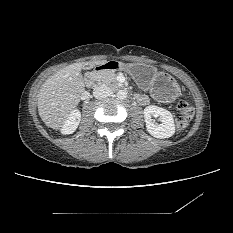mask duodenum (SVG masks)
Returning a JSON list of instances; mask_svg holds the SVG:
<instances>
[{"instance_id": "obj_1", "label": "duodenum", "mask_w": 233, "mask_h": 233, "mask_svg": "<svg viewBox=\"0 0 233 233\" xmlns=\"http://www.w3.org/2000/svg\"><path fill=\"white\" fill-rule=\"evenodd\" d=\"M119 69H120V64L116 61L99 63L95 67H93L91 70L86 72L85 81L88 85L93 86L95 74L102 72V71H106V70L117 71Z\"/></svg>"}]
</instances>
